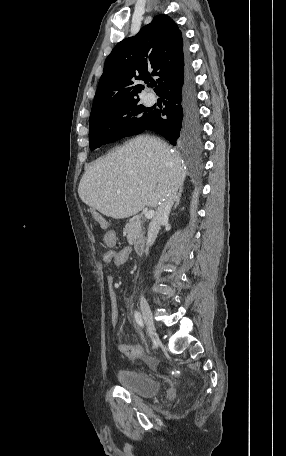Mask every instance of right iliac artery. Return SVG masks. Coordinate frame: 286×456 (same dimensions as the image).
I'll return each instance as SVG.
<instances>
[{
    "mask_svg": "<svg viewBox=\"0 0 286 456\" xmlns=\"http://www.w3.org/2000/svg\"><path fill=\"white\" fill-rule=\"evenodd\" d=\"M134 317H135L136 323H137L141 328H144V322H143L142 316H141V314H140L138 311H135Z\"/></svg>",
    "mask_w": 286,
    "mask_h": 456,
    "instance_id": "right-iliac-artery-1",
    "label": "right iliac artery"
}]
</instances>
